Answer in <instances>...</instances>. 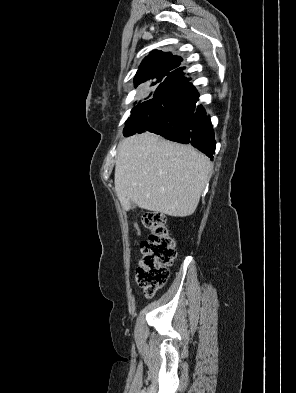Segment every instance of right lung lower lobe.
Here are the masks:
<instances>
[{"instance_id":"1","label":"right lung lower lobe","mask_w":296,"mask_h":393,"mask_svg":"<svg viewBox=\"0 0 296 393\" xmlns=\"http://www.w3.org/2000/svg\"><path fill=\"white\" fill-rule=\"evenodd\" d=\"M182 68L165 78L141 112L124 128V136L153 132L171 141L191 144L213 159L214 131L199 94Z\"/></svg>"}]
</instances>
